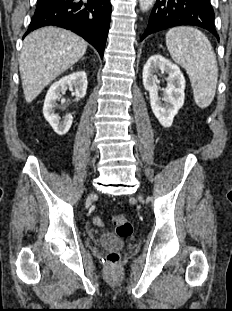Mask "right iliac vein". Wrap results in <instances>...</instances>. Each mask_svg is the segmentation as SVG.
I'll use <instances>...</instances> for the list:
<instances>
[{
	"label": "right iliac vein",
	"mask_w": 232,
	"mask_h": 311,
	"mask_svg": "<svg viewBox=\"0 0 232 311\" xmlns=\"http://www.w3.org/2000/svg\"><path fill=\"white\" fill-rule=\"evenodd\" d=\"M95 197V193H91L88 198L86 204L89 205L92 202V199Z\"/></svg>",
	"instance_id": "1"
}]
</instances>
